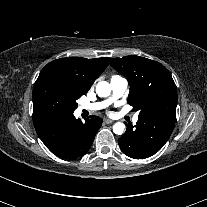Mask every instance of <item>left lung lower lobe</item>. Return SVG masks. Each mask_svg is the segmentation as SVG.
<instances>
[{
    "label": "left lung lower lobe",
    "instance_id": "1",
    "mask_svg": "<svg viewBox=\"0 0 207 207\" xmlns=\"http://www.w3.org/2000/svg\"><path fill=\"white\" fill-rule=\"evenodd\" d=\"M174 125L175 121L165 118H138L135 126L127 125L126 132L118 139L119 146L131 158H148L164 146Z\"/></svg>",
    "mask_w": 207,
    "mask_h": 207
}]
</instances>
